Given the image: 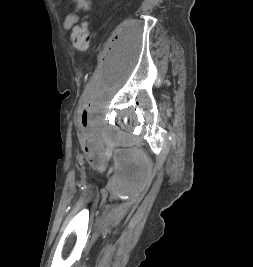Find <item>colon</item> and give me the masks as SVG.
Listing matches in <instances>:
<instances>
[{
    "mask_svg": "<svg viewBox=\"0 0 253 267\" xmlns=\"http://www.w3.org/2000/svg\"><path fill=\"white\" fill-rule=\"evenodd\" d=\"M90 31L86 22L76 25L72 31V43L78 51H85L89 47Z\"/></svg>",
    "mask_w": 253,
    "mask_h": 267,
    "instance_id": "obj_1",
    "label": "colon"
}]
</instances>
